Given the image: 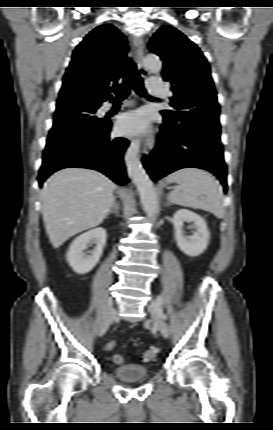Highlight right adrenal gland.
<instances>
[{
    "mask_svg": "<svg viewBox=\"0 0 273 430\" xmlns=\"http://www.w3.org/2000/svg\"><path fill=\"white\" fill-rule=\"evenodd\" d=\"M112 213L115 214L116 216L119 215V204L115 198H114L113 204L111 206V209L109 210L107 215L112 214Z\"/></svg>",
    "mask_w": 273,
    "mask_h": 430,
    "instance_id": "1",
    "label": "right adrenal gland"
}]
</instances>
